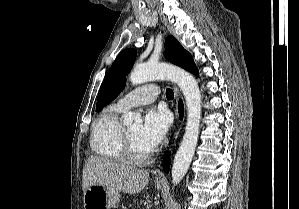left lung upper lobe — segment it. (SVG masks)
<instances>
[{"label": "left lung upper lobe", "instance_id": "5c2ea615", "mask_svg": "<svg viewBox=\"0 0 299 209\" xmlns=\"http://www.w3.org/2000/svg\"><path fill=\"white\" fill-rule=\"evenodd\" d=\"M165 41L166 59L192 72L196 67L190 53H188L173 36H168ZM135 57V49H126L117 56L101 85L98 93L96 111L102 110L124 89L125 76L133 67Z\"/></svg>", "mask_w": 299, "mask_h": 209}]
</instances>
